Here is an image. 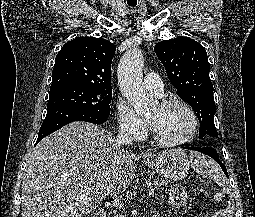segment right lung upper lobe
I'll return each mask as SVG.
<instances>
[{"mask_svg":"<svg viewBox=\"0 0 255 217\" xmlns=\"http://www.w3.org/2000/svg\"><path fill=\"white\" fill-rule=\"evenodd\" d=\"M115 46L103 38L77 37L58 52L51 87L80 84L111 88V63Z\"/></svg>","mask_w":255,"mask_h":217,"instance_id":"obj_1","label":"right lung upper lobe"}]
</instances>
